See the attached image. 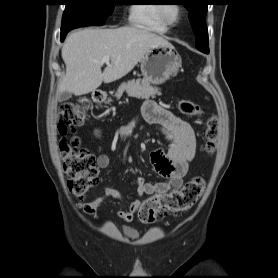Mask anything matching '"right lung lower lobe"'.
Returning <instances> with one entry per match:
<instances>
[{
	"label": "right lung lower lobe",
	"mask_w": 278,
	"mask_h": 278,
	"mask_svg": "<svg viewBox=\"0 0 278 278\" xmlns=\"http://www.w3.org/2000/svg\"><path fill=\"white\" fill-rule=\"evenodd\" d=\"M67 32H61V40L63 41L65 36H66Z\"/></svg>",
	"instance_id": "obj_1"
}]
</instances>
